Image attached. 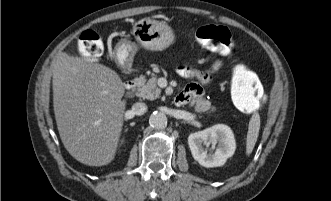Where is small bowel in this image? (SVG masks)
Wrapping results in <instances>:
<instances>
[{"label": "small bowel", "mask_w": 331, "mask_h": 201, "mask_svg": "<svg viewBox=\"0 0 331 201\" xmlns=\"http://www.w3.org/2000/svg\"><path fill=\"white\" fill-rule=\"evenodd\" d=\"M222 64V60H217L207 71H198L187 66L179 67L178 72L180 75L187 78H195L199 81V83L187 85L186 88L177 95L179 104H185L198 99L203 93L202 85L210 81L211 74L219 70Z\"/></svg>", "instance_id": "1"}]
</instances>
